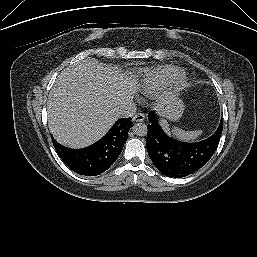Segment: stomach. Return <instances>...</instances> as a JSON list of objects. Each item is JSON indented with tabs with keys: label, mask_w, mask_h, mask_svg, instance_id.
Here are the masks:
<instances>
[{
	"label": "stomach",
	"mask_w": 257,
	"mask_h": 257,
	"mask_svg": "<svg viewBox=\"0 0 257 257\" xmlns=\"http://www.w3.org/2000/svg\"><path fill=\"white\" fill-rule=\"evenodd\" d=\"M156 110L161 117L171 121H177L182 117L184 104L176 95L168 94L166 95L164 102L156 107Z\"/></svg>",
	"instance_id": "1"
}]
</instances>
